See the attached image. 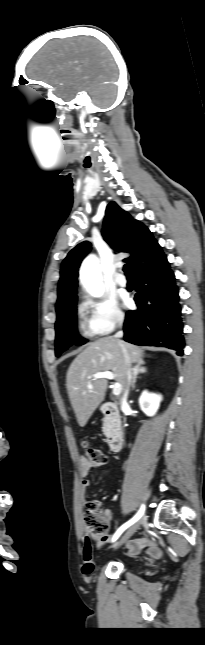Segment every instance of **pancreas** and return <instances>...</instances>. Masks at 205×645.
I'll return each instance as SVG.
<instances>
[{
  "label": "pancreas",
  "mask_w": 205,
  "mask_h": 645,
  "mask_svg": "<svg viewBox=\"0 0 205 645\" xmlns=\"http://www.w3.org/2000/svg\"><path fill=\"white\" fill-rule=\"evenodd\" d=\"M108 432H109L108 419L105 418L103 423V433L107 436Z\"/></svg>",
  "instance_id": "obj_1"
}]
</instances>
